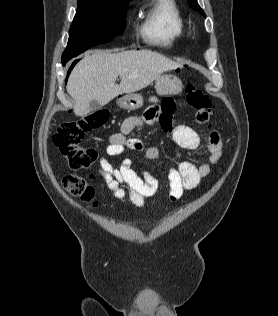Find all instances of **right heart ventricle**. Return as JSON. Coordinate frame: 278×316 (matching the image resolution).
<instances>
[{
    "label": "right heart ventricle",
    "mask_w": 278,
    "mask_h": 316,
    "mask_svg": "<svg viewBox=\"0 0 278 316\" xmlns=\"http://www.w3.org/2000/svg\"><path fill=\"white\" fill-rule=\"evenodd\" d=\"M139 34L149 45L169 48L186 34V24L175 0H150L140 10Z\"/></svg>",
    "instance_id": "right-heart-ventricle-1"
}]
</instances>
